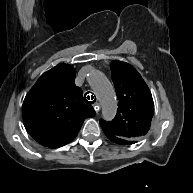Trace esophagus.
<instances>
[{"instance_id":"esophagus-1","label":"esophagus","mask_w":193,"mask_h":193,"mask_svg":"<svg viewBox=\"0 0 193 193\" xmlns=\"http://www.w3.org/2000/svg\"><path fill=\"white\" fill-rule=\"evenodd\" d=\"M91 95V94H90ZM94 110L96 111V113H98L100 111V105L98 102L95 103L94 105Z\"/></svg>"}]
</instances>
